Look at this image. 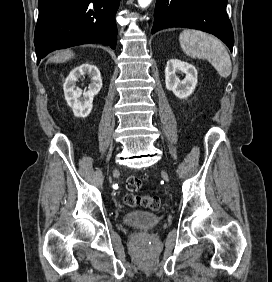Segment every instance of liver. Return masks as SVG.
<instances>
[{
  "instance_id": "obj_1",
  "label": "liver",
  "mask_w": 272,
  "mask_h": 282,
  "mask_svg": "<svg viewBox=\"0 0 272 282\" xmlns=\"http://www.w3.org/2000/svg\"><path fill=\"white\" fill-rule=\"evenodd\" d=\"M73 56H74V53L71 50L62 51V52H59L56 55H54L50 59V62L62 63V62H65V61L71 59Z\"/></svg>"
}]
</instances>
